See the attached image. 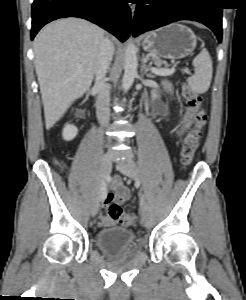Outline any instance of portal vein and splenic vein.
Wrapping results in <instances>:
<instances>
[{"instance_id":"18ae733b","label":"portal vein and splenic vein","mask_w":246,"mask_h":300,"mask_svg":"<svg viewBox=\"0 0 246 300\" xmlns=\"http://www.w3.org/2000/svg\"><path fill=\"white\" fill-rule=\"evenodd\" d=\"M185 73L190 74V71L187 69L183 70ZM152 72L159 76H170L175 72V69H158L152 68Z\"/></svg>"}]
</instances>
